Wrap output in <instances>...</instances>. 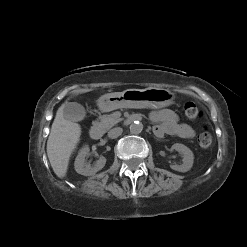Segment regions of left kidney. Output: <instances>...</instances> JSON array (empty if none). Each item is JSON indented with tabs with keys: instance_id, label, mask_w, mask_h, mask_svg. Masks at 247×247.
Masks as SVG:
<instances>
[{
	"instance_id": "left-kidney-1",
	"label": "left kidney",
	"mask_w": 247,
	"mask_h": 247,
	"mask_svg": "<svg viewBox=\"0 0 247 247\" xmlns=\"http://www.w3.org/2000/svg\"><path fill=\"white\" fill-rule=\"evenodd\" d=\"M172 149L180 152L183 155V164L181 165H171V169L179 172H187L193 166L194 154L193 152L185 145L176 143L172 145Z\"/></svg>"
}]
</instances>
